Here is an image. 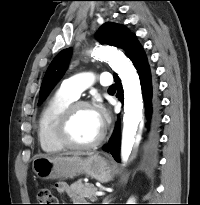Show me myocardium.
<instances>
[{
  "instance_id": "myocardium-1",
  "label": "myocardium",
  "mask_w": 200,
  "mask_h": 205,
  "mask_svg": "<svg viewBox=\"0 0 200 205\" xmlns=\"http://www.w3.org/2000/svg\"><path fill=\"white\" fill-rule=\"evenodd\" d=\"M81 108L93 109L92 105L85 101H74L70 103L61 113L57 126L56 136L59 142L66 148L75 150H86L97 147L102 143L106 136V129L102 126V130L98 137L89 143H77L70 137L69 128L75 113Z\"/></svg>"
}]
</instances>
